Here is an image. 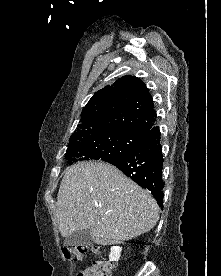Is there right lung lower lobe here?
<instances>
[{
    "instance_id": "right-lung-lower-lobe-1",
    "label": "right lung lower lobe",
    "mask_w": 221,
    "mask_h": 276,
    "mask_svg": "<svg viewBox=\"0 0 221 276\" xmlns=\"http://www.w3.org/2000/svg\"><path fill=\"white\" fill-rule=\"evenodd\" d=\"M161 152L159 127H153L139 146L129 154L109 163L116 166L141 187L151 191L158 205L163 208L164 182L162 180L163 158Z\"/></svg>"
}]
</instances>
